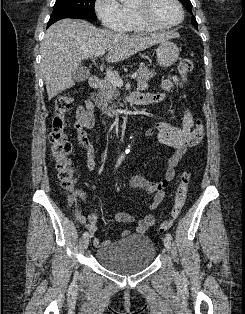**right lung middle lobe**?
Here are the masks:
<instances>
[{
  "instance_id": "1",
  "label": "right lung middle lobe",
  "mask_w": 245,
  "mask_h": 314,
  "mask_svg": "<svg viewBox=\"0 0 245 314\" xmlns=\"http://www.w3.org/2000/svg\"><path fill=\"white\" fill-rule=\"evenodd\" d=\"M95 0H56L49 21L63 18H86L96 20Z\"/></svg>"
}]
</instances>
